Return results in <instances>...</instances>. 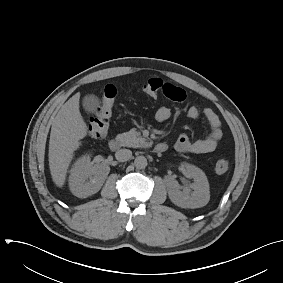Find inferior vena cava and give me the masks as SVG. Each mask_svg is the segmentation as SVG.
<instances>
[{"label": "inferior vena cava", "mask_w": 283, "mask_h": 283, "mask_svg": "<svg viewBox=\"0 0 283 283\" xmlns=\"http://www.w3.org/2000/svg\"><path fill=\"white\" fill-rule=\"evenodd\" d=\"M115 157L120 162L128 161L132 157V151L129 149H120L116 151Z\"/></svg>", "instance_id": "obj_1"}]
</instances>
